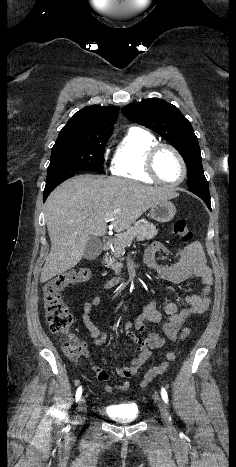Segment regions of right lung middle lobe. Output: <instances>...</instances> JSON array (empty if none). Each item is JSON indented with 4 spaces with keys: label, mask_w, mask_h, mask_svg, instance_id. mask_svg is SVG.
I'll return each mask as SVG.
<instances>
[{
    "label": "right lung middle lobe",
    "mask_w": 236,
    "mask_h": 467,
    "mask_svg": "<svg viewBox=\"0 0 236 467\" xmlns=\"http://www.w3.org/2000/svg\"><path fill=\"white\" fill-rule=\"evenodd\" d=\"M111 133L60 131L52 148L47 179L76 171L103 172V155Z\"/></svg>",
    "instance_id": "dd1d6c3e"
}]
</instances>
